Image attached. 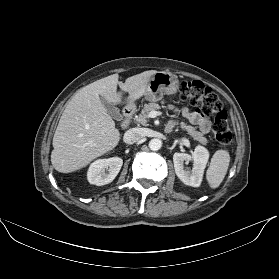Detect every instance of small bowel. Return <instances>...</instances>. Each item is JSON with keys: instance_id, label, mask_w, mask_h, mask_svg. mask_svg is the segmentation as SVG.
Returning a JSON list of instances; mask_svg holds the SVG:
<instances>
[{"instance_id": "1", "label": "small bowel", "mask_w": 279, "mask_h": 279, "mask_svg": "<svg viewBox=\"0 0 279 279\" xmlns=\"http://www.w3.org/2000/svg\"><path fill=\"white\" fill-rule=\"evenodd\" d=\"M169 108L175 112L180 113L181 116L188 119L192 124L197 125L202 133L206 134L210 131L211 122L207 118L202 117L198 112L191 111L188 108H183L180 111L175 109L173 106H170ZM173 124L174 122L171 121L168 124V128H171Z\"/></svg>"}]
</instances>
